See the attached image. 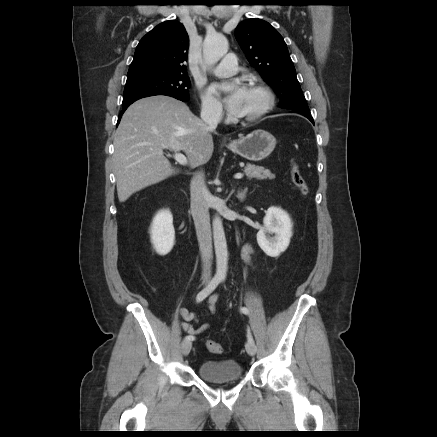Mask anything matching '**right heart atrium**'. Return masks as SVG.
Instances as JSON below:
<instances>
[{"label":"right heart atrium","instance_id":"1","mask_svg":"<svg viewBox=\"0 0 437 437\" xmlns=\"http://www.w3.org/2000/svg\"><path fill=\"white\" fill-rule=\"evenodd\" d=\"M201 114L209 119H219L222 116L220 102L211 94L201 92L200 94Z\"/></svg>","mask_w":437,"mask_h":437}]
</instances>
